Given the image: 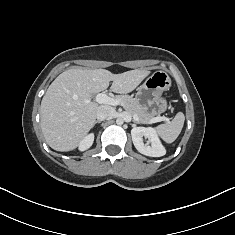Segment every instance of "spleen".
Segmentation results:
<instances>
[{
	"label": "spleen",
	"instance_id": "3e777b00",
	"mask_svg": "<svg viewBox=\"0 0 235 235\" xmlns=\"http://www.w3.org/2000/svg\"><path fill=\"white\" fill-rule=\"evenodd\" d=\"M184 121V114L179 112L171 122L159 125L156 128V131L166 143H172L179 136L183 128Z\"/></svg>",
	"mask_w": 235,
	"mask_h": 235
}]
</instances>
